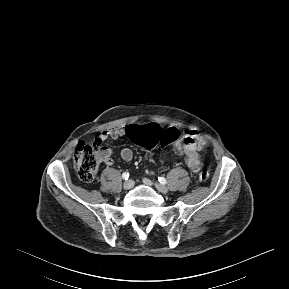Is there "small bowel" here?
I'll list each match as a JSON object with an SVG mask.
<instances>
[{
	"label": "small bowel",
	"mask_w": 289,
	"mask_h": 289,
	"mask_svg": "<svg viewBox=\"0 0 289 289\" xmlns=\"http://www.w3.org/2000/svg\"><path fill=\"white\" fill-rule=\"evenodd\" d=\"M127 134V128L116 127L109 130H104L100 132L96 141L97 143H102L108 139H118ZM208 146L207 139L197 133L194 130H187L182 138L176 142L175 151L176 153L183 157L188 165V167L193 171L197 172L200 169V153L204 151ZM111 150L107 147L101 148V161L106 165H112L113 159L111 157ZM120 157L129 162L133 158V151L128 148H122L120 151Z\"/></svg>",
	"instance_id": "obj_1"
}]
</instances>
